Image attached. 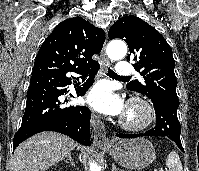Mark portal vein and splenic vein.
Wrapping results in <instances>:
<instances>
[{"instance_id": "portal-vein-and-splenic-vein-1", "label": "portal vein and splenic vein", "mask_w": 199, "mask_h": 171, "mask_svg": "<svg viewBox=\"0 0 199 171\" xmlns=\"http://www.w3.org/2000/svg\"><path fill=\"white\" fill-rule=\"evenodd\" d=\"M154 171H157V170H154ZM159 171H164L163 169H160Z\"/></svg>"}]
</instances>
